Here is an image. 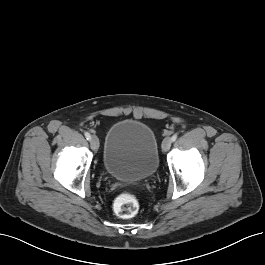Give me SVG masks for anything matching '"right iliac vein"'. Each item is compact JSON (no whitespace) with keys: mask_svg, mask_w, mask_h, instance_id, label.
I'll use <instances>...</instances> for the list:
<instances>
[{"mask_svg":"<svg viewBox=\"0 0 265 265\" xmlns=\"http://www.w3.org/2000/svg\"><path fill=\"white\" fill-rule=\"evenodd\" d=\"M91 148L96 151L99 148V140L97 136L93 135L90 140Z\"/></svg>","mask_w":265,"mask_h":265,"instance_id":"obj_1","label":"right iliac vein"}]
</instances>
